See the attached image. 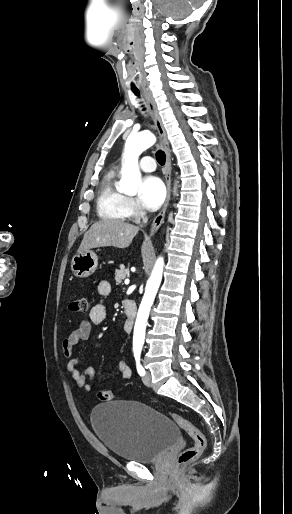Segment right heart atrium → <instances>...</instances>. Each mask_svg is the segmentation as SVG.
<instances>
[{
	"label": "right heart atrium",
	"mask_w": 292,
	"mask_h": 514,
	"mask_svg": "<svg viewBox=\"0 0 292 514\" xmlns=\"http://www.w3.org/2000/svg\"><path fill=\"white\" fill-rule=\"evenodd\" d=\"M128 203H129V208L134 209L135 204H134L133 200H128Z\"/></svg>",
	"instance_id": "obj_1"
}]
</instances>
